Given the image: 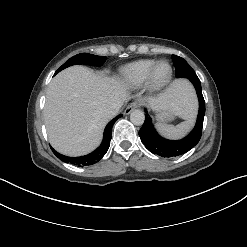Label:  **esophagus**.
I'll use <instances>...</instances> for the list:
<instances>
[{"label": "esophagus", "mask_w": 247, "mask_h": 247, "mask_svg": "<svg viewBox=\"0 0 247 247\" xmlns=\"http://www.w3.org/2000/svg\"><path fill=\"white\" fill-rule=\"evenodd\" d=\"M139 106H140V104H139L137 101L132 102V103H131L130 105H128V107L125 109L124 114H125V115L130 114L131 111H133L134 109H136V108L139 107Z\"/></svg>", "instance_id": "1"}]
</instances>
